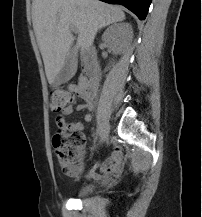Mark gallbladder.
Masks as SVG:
<instances>
[{
  "instance_id": "obj_1",
  "label": "gallbladder",
  "mask_w": 202,
  "mask_h": 217,
  "mask_svg": "<svg viewBox=\"0 0 202 217\" xmlns=\"http://www.w3.org/2000/svg\"><path fill=\"white\" fill-rule=\"evenodd\" d=\"M77 70V58L76 53L72 50L69 56L66 58L65 64L54 79L52 86L58 87L59 85L68 82L76 73Z\"/></svg>"
}]
</instances>
